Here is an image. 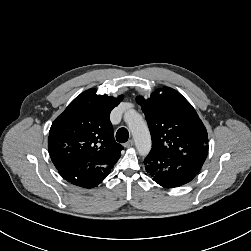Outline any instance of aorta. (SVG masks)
Returning <instances> with one entry per match:
<instances>
[{"instance_id":"obj_1","label":"aorta","mask_w":251,"mask_h":251,"mask_svg":"<svg viewBox=\"0 0 251 251\" xmlns=\"http://www.w3.org/2000/svg\"><path fill=\"white\" fill-rule=\"evenodd\" d=\"M124 120L132 133L138 153L142 156L147 155L151 149L148 126L135 110L126 111Z\"/></svg>"}]
</instances>
